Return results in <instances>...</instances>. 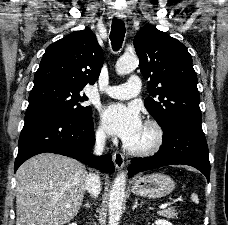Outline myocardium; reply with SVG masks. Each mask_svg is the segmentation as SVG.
<instances>
[{
  "label": "myocardium",
  "mask_w": 228,
  "mask_h": 225,
  "mask_svg": "<svg viewBox=\"0 0 228 225\" xmlns=\"http://www.w3.org/2000/svg\"><path fill=\"white\" fill-rule=\"evenodd\" d=\"M144 127L153 135V142L146 147L133 146L130 143H125L124 149L131 154L149 156L157 153L164 144V131L160 124L154 120H147Z\"/></svg>",
  "instance_id": "f54148a6"
}]
</instances>
